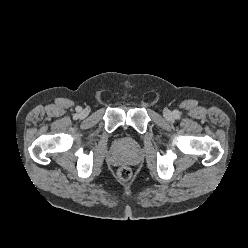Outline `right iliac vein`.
Segmentation results:
<instances>
[{"label":"right iliac vein","mask_w":248,"mask_h":248,"mask_svg":"<svg viewBox=\"0 0 248 248\" xmlns=\"http://www.w3.org/2000/svg\"><path fill=\"white\" fill-rule=\"evenodd\" d=\"M87 115H88V111L83 110V111L81 112V116H82V117H86Z\"/></svg>","instance_id":"1"}]
</instances>
